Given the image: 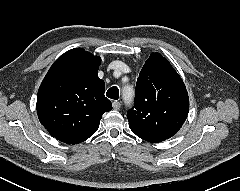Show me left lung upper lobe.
<instances>
[{
	"label": "left lung upper lobe",
	"instance_id": "5c2ea615",
	"mask_svg": "<svg viewBox=\"0 0 240 191\" xmlns=\"http://www.w3.org/2000/svg\"><path fill=\"white\" fill-rule=\"evenodd\" d=\"M188 109L180 75L161 54L152 53L139 74L135 103L127 113L130 129L146 141H164L181 128Z\"/></svg>",
	"mask_w": 240,
	"mask_h": 191
}]
</instances>
